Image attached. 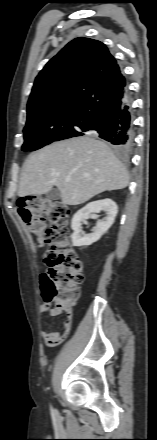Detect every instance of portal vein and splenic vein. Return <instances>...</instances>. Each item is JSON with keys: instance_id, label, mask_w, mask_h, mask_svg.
Wrapping results in <instances>:
<instances>
[{"instance_id": "1", "label": "portal vein and splenic vein", "mask_w": 157, "mask_h": 440, "mask_svg": "<svg viewBox=\"0 0 157 440\" xmlns=\"http://www.w3.org/2000/svg\"><path fill=\"white\" fill-rule=\"evenodd\" d=\"M69 181H70V179H69V178H67V179H66V182H69Z\"/></svg>"}]
</instances>
